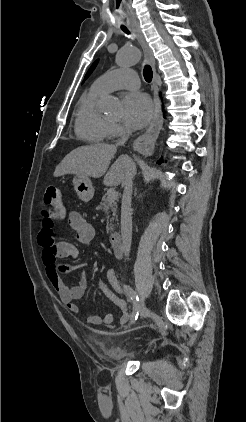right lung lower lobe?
<instances>
[{
    "label": "right lung lower lobe",
    "mask_w": 246,
    "mask_h": 422,
    "mask_svg": "<svg viewBox=\"0 0 246 422\" xmlns=\"http://www.w3.org/2000/svg\"><path fill=\"white\" fill-rule=\"evenodd\" d=\"M157 163H161V160H159Z\"/></svg>",
    "instance_id": "98d812e1"
}]
</instances>
